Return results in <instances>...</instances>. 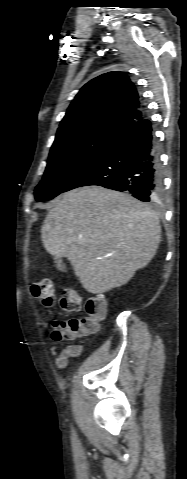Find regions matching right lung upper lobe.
Instances as JSON below:
<instances>
[{
	"mask_svg": "<svg viewBox=\"0 0 187 479\" xmlns=\"http://www.w3.org/2000/svg\"><path fill=\"white\" fill-rule=\"evenodd\" d=\"M143 115L134 84L127 75L113 71L84 85L68 108L57 135L90 125H107L125 131Z\"/></svg>",
	"mask_w": 187,
	"mask_h": 479,
	"instance_id": "cb5924a9",
	"label": "right lung upper lobe"
}]
</instances>
